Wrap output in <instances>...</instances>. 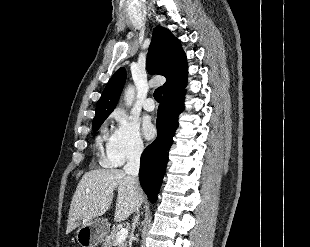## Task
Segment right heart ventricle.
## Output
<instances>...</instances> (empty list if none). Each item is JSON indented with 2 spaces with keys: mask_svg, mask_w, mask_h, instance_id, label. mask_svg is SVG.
<instances>
[{
  "mask_svg": "<svg viewBox=\"0 0 310 247\" xmlns=\"http://www.w3.org/2000/svg\"><path fill=\"white\" fill-rule=\"evenodd\" d=\"M96 143H97V146H100V144H101V137L97 138V142Z\"/></svg>",
  "mask_w": 310,
  "mask_h": 247,
  "instance_id": "1",
  "label": "right heart ventricle"
}]
</instances>
